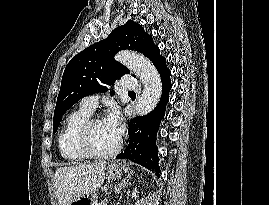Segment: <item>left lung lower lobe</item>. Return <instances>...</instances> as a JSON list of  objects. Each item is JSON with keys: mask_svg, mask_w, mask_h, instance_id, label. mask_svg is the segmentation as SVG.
<instances>
[{"mask_svg": "<svg viewBox=\"0 0 269 205\" xmlns=\"http://www.w3.org/2000/svg\"><path fill=\"white\" fill-rule=\"evenodd\" d=\"M162 81V97L156 108L145 116L136 117L129 123L128 134L130 141L124 152L116 159H128L159 174L158 150L156 147V134L160 121L165 115L166 104L171 89V71L166 66V59L161 57L154 65Z\"/></svg>", "mask_w": 269, "mask_h": 205, "instance_id": "1", "label": "left lung lower lobe"}]
</instances>
